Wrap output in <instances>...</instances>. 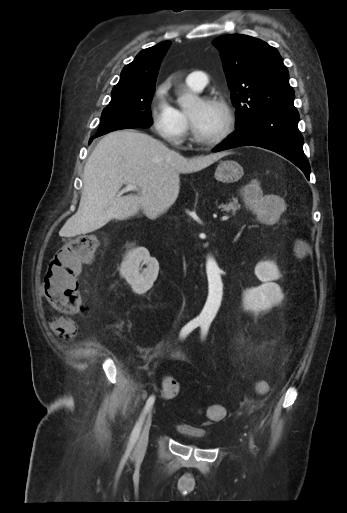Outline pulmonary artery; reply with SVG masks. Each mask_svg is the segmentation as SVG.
Instances as JSON below:
<instances>
[{
    "instance_id": "e3ab8cb5",
    "label": "pulmonary artery",
    "mask_w": 347,
    "mask_h": 513,
    "mask_svg": "<svg viewBox=\"0 0 347 513\" xmlns=\"http://www.w3.org/2000/svg\"><path fill=\"white\" fill-rule=\"evenodd\" d=\"M187 83L192 89L200 91L207 85L208 75L203 71H194L187 76Z\"/></svg>"
}]
</instances>
